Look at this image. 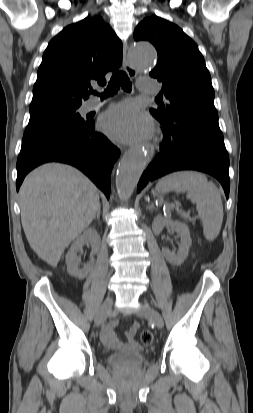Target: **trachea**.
<instances>
[{
    "label": "trachea",
    "mask_w": 253,
    "mask_h": 413,
    "mask_svg": "<svg viewBox=\"0 0 253 413\" xmlns=\"http://www.w3.org/2000/svg\"><path fill=\"white\" fill-rule=\"evenodd\" d=\"M120 87L127 92H130L132 90V83L130 82V79L128 78L127 74L123 71H117L112 75L108 83L107 89L101 96H113L117 93ZM90 92L93 94H97L93 90H90Z\"/></svg>",
    "instance_id": "1"
}]
</instances>
